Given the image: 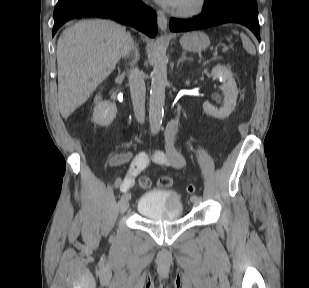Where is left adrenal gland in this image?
Here are the masks:
<instances>
[{
  "label": "left adrenal gland",
  "mask_w": 309,
  "mask_h": 288,
  "mask_svg": "<svg viewBox=\"0 0 309 288\" xmlns=\"http://www.w3.org/2000/svg\"><path fill=\"white\" fill-rule=\"evenodd\" d=\"M185 60H190V58H188V57L186 56L185 51H183L181 57L179 58V60H178V62H177V65H179L181 62H183V61H185Z\"/></svg>",
  "instance_id": "a2214340"
}]
</instances>
